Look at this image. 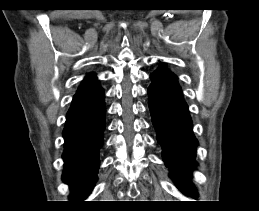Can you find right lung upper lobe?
<instances>
[{
	"label": "right lung upper lobe",
	"instance_id": "cb5924a9",
	"mask_svg": "<svg viewBox=\"0 0 259 211\" xmlns=\"http://www.w3.org/2000/svg\"><path fill=\"white\" fill-rule=\"evenodd\" d=\"M97 83L96 80V76L93 74H88L85 79L82 81L81 85L78 88V92L84 91L90 87H92L93 85H95Z\"/></svg>",
	"mask_w": 259,
	"mask_h": 211
}]
</instances>
